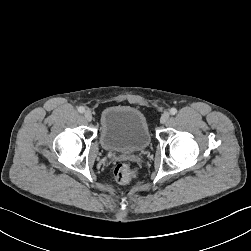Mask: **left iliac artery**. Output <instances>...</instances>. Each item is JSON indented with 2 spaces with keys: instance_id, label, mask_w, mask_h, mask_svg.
<instances>
[{
  "instance_id": "1",
  "label": "left iliac artery",
  "mask_w": 251,
  "mask_h": 251,
  "mask_svg": "<svg viewBox=\"0 0 251 251\" xmlns=\"http://www.w3.org/2000/svg\"><path fill=\"white\" fill-rule=\"evenodd\" d=\"M177 113V109L176 108H171L170 109V114L171 115H175Z\"/></svg>"
}]
</instances>
